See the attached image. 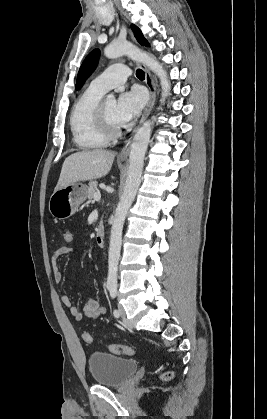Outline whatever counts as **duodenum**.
<instances>
[{"label":"duodenum","mask_w":267,"mask_h":419,"mask_svg":"<svg viewBox=\"0 0 267 419\" xmlns=\"http://www.w3.org/2000/svg\"><path fill=\"white\" fill-rule=\"evenodd\" d=\"M96 243L98 246L102 247L105 244V233L102 230H99L96 234Z\"/></svg>","instance_id":"1"}]
</instances>
